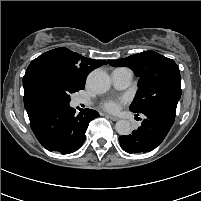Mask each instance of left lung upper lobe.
Segmentation results:
<instances>
[{
	"instance_id": "5c2ea615",
	"label": "left lung upper lobe",
	"mask_w": 201,
	"mask_h": 201,
	"mask_svg": "<svg viewBox=\"0 0 201 201\" xmlns=\"http://www.w3.org/2000/svg\"><path fill=\"white\" fill-rule=\"evenodd\" d=\"M109 64L129 67L140 77L131 111L144 113L159 106L176 109L181 97V84L179 68L172 59L146 51L115 61L109 60Z\"/></svg>"
}]
</instances>
